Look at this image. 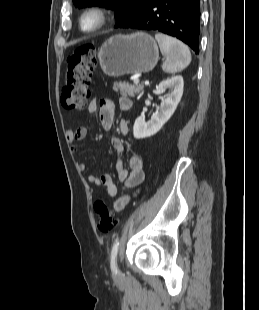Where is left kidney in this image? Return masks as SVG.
I'll return each mask as SVG.
<instances>
[{
  "label": "left kidney",
  "instance_id": "1",
  "mask_svg": "<svg viewBox=\"0 0 259 310\" xmlns=\"http://www.w3.org/2000/svg\"><path fill=\"white\" fill-rule=\"evenodd\" d=\"M184 81L180 75L162 81L157 87L160 95L169 89L165 98L160 97L159 110L146 122L143 117H138L133 126V135L136 139H142L156 134L163 125L171 118L183 94Z\"/></svg>",
  "mask_w": 259,
  "mask_h": 310
}]
</instances>
